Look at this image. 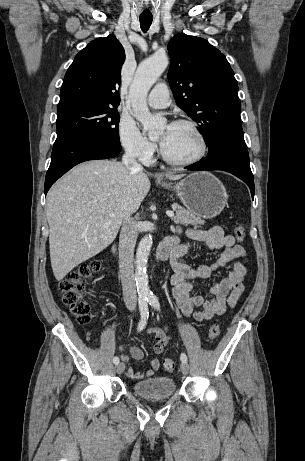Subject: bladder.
Segmentation results:
<instances>
[{"label": "bladder", "mask_w": 305, "mask_h": 461, "mask_svg": "<svg viewBox=\"0 0 305 461\" xmlns=\"http://www.w3.org/2000/svg\"><path fill=\"white\" fill-rule=\"evenodd\" d=\"M132 390L143 398L166 399L176 393V385L171 377L156 376L133 383Z\"/></svg>", "instance_id": "bladder-1"}]
</instances>
